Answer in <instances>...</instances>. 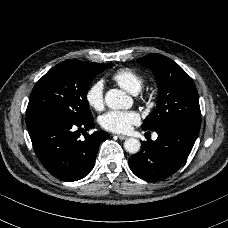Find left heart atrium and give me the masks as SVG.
Returning <instances> with one entry per match:
<instances>
[{"label": "left heart atrium", "instance_id": "left-heart-atrium-1", "mask_svg": "<svg viewBox=\"0 0 228 228\" xmlns=\"http://www.w3.org/2000/svg\"><path fill=\"white\" fill-rule=\"evenodd\" d=\"M139 119V115L134 111L110 110L101 116L100 124L110 132L125 133L133 124H137Z\"/></svg>", "mask_w": 228, "mask_h": 228}]
</instances>
